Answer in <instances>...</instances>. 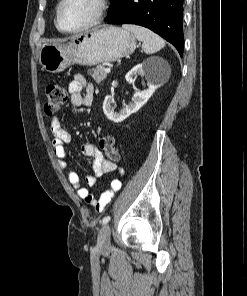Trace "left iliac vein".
Masks as SVG:
<instances>
[{"label": "left iliac vein", "instance_id": "4c4485c4", "mask_svg": "<svg viewBox=\"0 0 247 296\" xmlns=\"http://www.w3.org/2000/svg\"><path fill=\"white\" fill-rule=\"evenodd\" d=\"M110 226L105 224L98 234V247L102 251H107L110 248Z\"/></svg>", "mask_w": 247, "mask_h": 296}]
</instances>
